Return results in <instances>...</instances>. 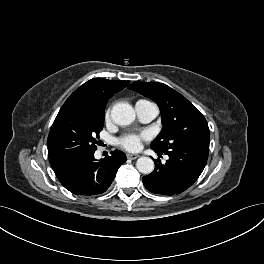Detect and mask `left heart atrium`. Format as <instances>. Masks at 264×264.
Here are the masks:
<instances>
[{
  "instance_id": "left-heart-atrium-1",
  "label": "left heart atrium",
  "mask_w": 264,
  "mask_h": 264,
  "mask_svg": "<svg viewBox=\"0 0 264 264\" xmlns=\"http://www.w3.org/2000/svg\"><path fill=\"white\" fill-rule=\"evenodd\" d=\"M146 139L147 135L144 133L126 134L119 139L118 143L122 148L128 151H137L140 149L142 141Z\"/></svg>"
}]
</instances>
